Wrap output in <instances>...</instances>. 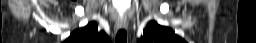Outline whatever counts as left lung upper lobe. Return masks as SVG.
Returning <instances> with one entry per match:
<instances>
[{
	"label": "left lung upper lobe",
	"instance_id": "1",
	"mask_svg": "<svg viewBox=\"0 0 256 43\" xmlns=\"http://www.w3.org/2000/svg\"><path fill=\"white\" fill-rule=\"evenodd\" d=\"M137 43H186L182 38L168 27H163L157 22L151 21L143 31V36Z\"/></svg>",
	"mask_w": 256,
	"mask_h": 43
}]
</instances>
